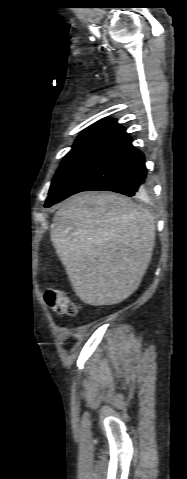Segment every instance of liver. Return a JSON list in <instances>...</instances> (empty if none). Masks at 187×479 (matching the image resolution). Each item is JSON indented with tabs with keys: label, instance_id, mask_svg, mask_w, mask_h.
<instances>
[{
	"label": "liver",
	"instance_id": "1",
	"mask_svg": "<svg viewBox=\"0 0 187 479\" xmlns=\"http://www.w3.org/2000/svg\"><path fill=\"white\" fill-rule=\"evenodd\" d=\"M50 237L78 297L114 305L138 288L148 268L155 221L127 197L84 192L60 204Z\"/></svg>",
	"mask_w": 187,
	"mask_h": 479
}]
</instances>
